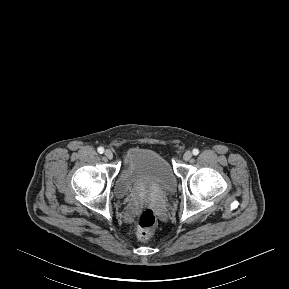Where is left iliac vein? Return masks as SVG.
Instances as JSON below:
<instances>
[{"label": "left iliac vein", "mask_w": 289, "mask_h": 289, "mask_svg": "<svg viewBox=\"0 0 289 289\" xmlns=\"http://www.w3.org/2000/svg\"><path fill=\"white\" fill-rule=\"evenodd\" d=\"M192 158V153L190 151H186L184 154H183V159L185 161H189L190 159Z\"/></svg>", "instance_id": "1"}]
</instances>
